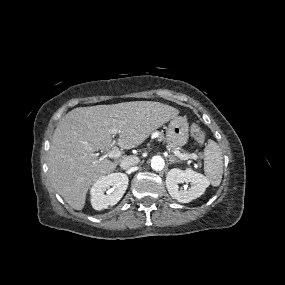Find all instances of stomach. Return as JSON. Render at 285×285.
<instances>
[{
  "instance_id": "1",
  "label": "stomach",
  "mask_w": 285,
  "mask_h": 285,
  "mask_svg": "<svg viewBox=\"0 0 285 285\" xmlns=\"http://www.w3.org/2000/svg\"><path fill=\"white\" fill-rule=\"evenodd\" d=\"M189 138V125L185 117H173L166 131V142L172 147L184 146Z\"/></svg>"
}]
</instances>
